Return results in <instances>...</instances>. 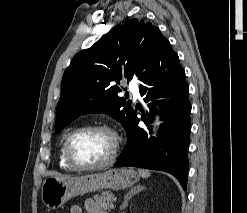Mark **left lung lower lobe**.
Returning <instances> with one entry per match:
<instances>
[{"label": "left lung lower lobe", "instance_id": "left-lung-lower-lobe-1", "mask_svg": "<svg viewBox=\"0 0 247 213\" xmlns=\"http://www.w3.org/2000/svg\"><path fill=\"white\" fill-rule=\"evenodd\" d=\"M140 81V94L145 96L144 101L148 103L150 111L139 108L146 128L139 127L140 119L134 111L125 128L127 145L114 166L165 171L174 175L186 190L191 105L185 71L179 64L178 55L173 52L160 63L154 64ZM156 105L160 107L161 120L164 122L157 138H148Z\"/></svg>", "mask_w": 247, "mask_h": 213}]
</instances>
